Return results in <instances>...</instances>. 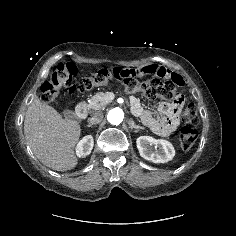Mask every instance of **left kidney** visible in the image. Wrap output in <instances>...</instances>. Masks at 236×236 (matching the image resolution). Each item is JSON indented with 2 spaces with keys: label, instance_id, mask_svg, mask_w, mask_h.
Here are the masks:
<instances>
[{
  "label": "left kidney",
  "instance_id": "obj_1",
  "mask_svg": "<svg viewBox=\"0 0 236 236\" xmlns=\"http://www.w3.org/2000/svg\"><path fill=\"white\" fill-rule=\"evenodd\" d=\"M136 143L140 156L154 163H166L175 155L173 145L164 139L157 140L150 136H140Z\"/></svg>",
  "mask_w": 236,
  "mask_h": 236
}]
</instances>
